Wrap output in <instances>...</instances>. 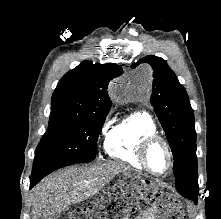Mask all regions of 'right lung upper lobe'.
Here are the masks:
<instances>
[{
	"label": "right lung upper lobe",
	"mask_w": 221,
	"mask_h": 219,
	"mask_svg": "<svg viewBox=\"0 0 221 219\" xmlns=\"http://www.w3.org/2000/svg\"><path fill=\"white\" fill-rule=\"evenodd\" d=\"M121 73V67L116 64L83 61L60 80L52 96L51 109L80 114L109 111L111 101L106 91L107 84Z\"/></svg>",
	"instance_id": "1"
}]
</instances>
